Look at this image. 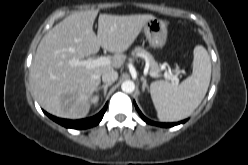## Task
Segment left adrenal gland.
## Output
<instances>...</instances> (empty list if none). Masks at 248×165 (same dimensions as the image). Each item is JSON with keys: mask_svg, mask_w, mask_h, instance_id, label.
Returning <instances> with one entry per match:
<instances>
[{"mask_svg": "<svg viewBox=\"0 0 248 165\" xmlns=\"http://www.w3.org/2000/svg\"><path fill=\"white\" fill-rule=\"evenodd\" d=\"M141 81L143 82L142 91L144 92L145 88L148 89L147 81H146V79L144 77H141Z\"/></svg>", "mask_w": 248, "mask_h": 165, "instance_id": "1", "label": "left adrenal gland"}]
</instances>
